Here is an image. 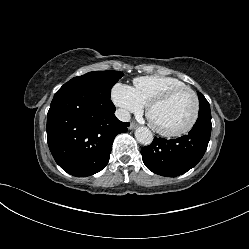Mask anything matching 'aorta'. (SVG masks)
I'll return each mask as SVG.
<instances>
[{"instance_id": "aorta-1", "label": "aorta", "mask_w": 249, "mask_h": 249, "mask_svg": "<svg viewBox=\"0 0 249 249\" xmlns=\"http://www.w3.org/2000/svg\"><path fill=\"white\" fill-rule=\"evenodd\" d=\"M135 138L143 145H150L153 141V134L147 127H138L135 131Z\"/></svg>"}]
</instances>
